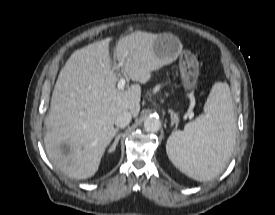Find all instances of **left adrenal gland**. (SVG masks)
<instances>
[{
  "label": "left adrenal gland",
  "instance_id": "1",
  "mask_svg": "<svg viewBox=\"0 0 275 215\" xmlns=\"http://www.w3.org/2000/svg\"><path fill=\"white\" fill-rule=\"evenodd\" d=\"M179 122L178 115L174 112L171 113V126L175 125V128L177 127Z\"/></svg>",
  "mask_w": 275,
  "mask_h": 215
}]
</instances>
